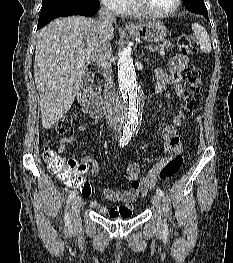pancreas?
I'll return each mask as SVG.
<instances>
[{"instance_id":"1","label":"pancreas","mask_w":233,"mask_h":263,"mask_svg":"<svg viewBox=\"0 0 233 263\" xmlns=\"http://www.w3.org/2000/svg\"><path fill=\"white\" fill-rule=\"evenodd\" d=\"M173 44L170 41H164L162 44H160L159 46H155L154 49H160V50H164L165 48H171L172 49ZM150 49H153L152 46H149Z\"/></svg>"}]
</instances>
